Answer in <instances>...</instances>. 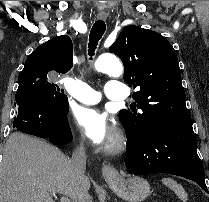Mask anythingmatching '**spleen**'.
Here are the masks:
<instances>
[{
    "label": "spleen",
    "instance_id": "1",
    "mask_svg": "<svg viewBox=\"0 0 209 202\" xmlns=\"http://www.w3.org/2000/svg\"><path fill=\"white\" fill-rule=\"evenodd\" d=\"M162 183L167 186L170 190L174 191V193L178 196L180 200L186 202L188 199V195L185 189L182 187L181 184L177 183L172 178H162Z\"/></svg>",
    "mask_w": 209,
    "mask_h": 202
}]
</instances>
